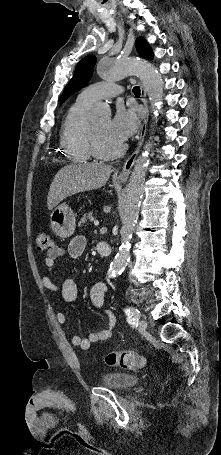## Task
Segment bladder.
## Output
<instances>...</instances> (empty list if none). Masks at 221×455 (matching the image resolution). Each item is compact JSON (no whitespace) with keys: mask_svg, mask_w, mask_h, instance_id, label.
Here are the masks:
<instances>
[{"mask_svg":"<svg viewBox=\"0 0 221 455\" xmlns=\"http://www.w3.org/2000/svg\"><path fill=\"white\" fill-rule=\"evenodd\" d=\"M139 378L136 375L122 372H108L101 378V384L117 390H128L136 386Z\"/></svg>","mask_w":221,"mask_h":455,"instance_id":"obj_1","label":"bladder"}]
</instances>
